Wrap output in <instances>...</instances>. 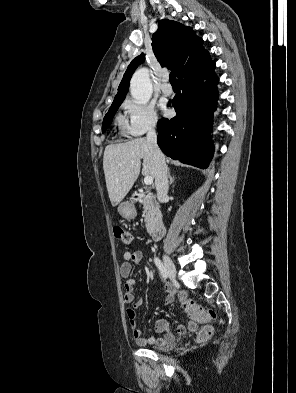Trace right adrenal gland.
<instances>
[{
	"label": "right adrenal gland",
	"instance_id": "right-adrenal-gland-1",
	"mask_svg": "<svg viewBox=\"0 0 296 393\" xmlns=\"http://www.w3.org/2000/svg\"><path fill=\"white\" fill-rule=\"evenodd\" d=\"M169 185H172L175 178L171 176L170 169L168 168Z\"/></svg>",
	"mask_w": 296,
	"mask_h": 393
}]
</instances>
